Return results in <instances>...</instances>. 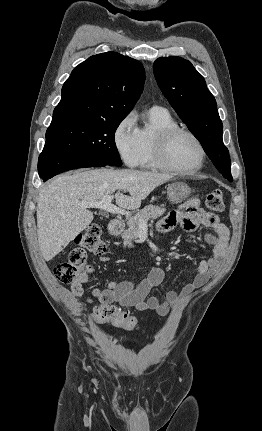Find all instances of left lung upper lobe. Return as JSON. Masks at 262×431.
<instances>
[{
	"label": "left lung upper lobe",
	"instance_id": "left-lung-upper-lobe-1",
	"mask_svg": "<svg viewBox=\"0 0 262 431\" xmlns=\"http://www.w3.org/2000/svg\"><path fill=\"white\" fill-rule=\"evenodd\" d=\"M153 68L164 96L219 172L232 182L229 152L222 140L223 125L203 76L188 60L176 56L158 58Z\"/></svg>",
	"mask_w": 262,
	"mask_h": 431
}]
</instances>
